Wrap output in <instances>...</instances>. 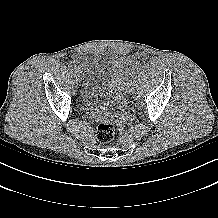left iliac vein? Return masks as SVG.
<instances>
[{
	"mask_svg": "<svg viewBox=\"0 0 218 218\" xmlns=\"http://www.w3.org/2000/svg\"><path fill=\"white\" fill-rule=\"evenodd\" d=\"M128 92H129V93H132V92H133V88H132V87H129V88H128Z\"/></svg>",
	"mask_w": 218,
	"mask_h": 218,
	"instance_id": "obj_1",
	"label": "left iliac vein"
}]
</instances>
